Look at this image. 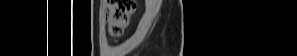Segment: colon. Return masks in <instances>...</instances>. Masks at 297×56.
<instances>
[{"label": "colon", "mask_w": 297, "mask_h": 56, "mask_svg": "<svg viewBox=\"0 0 297 56\" xmlns=\"http://www.w3.org/2000/svg\"><path fill=\"white\" fill-rule=\"evenodd\" d=\"M135 9L133 0H112L107 3L106 16L111 37L117 38L124 33Z\"/></svg>", "instance_id": "obj_1"}]
</instances>
